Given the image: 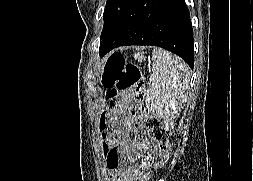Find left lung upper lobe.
Returning a JSON list of instances; mask_svg holds the SVG:
<instances>
[{"label":"left lung upper lobe","mask_w":253,"mask_h":181,"mask_svg":"<svg viewBox=\"0 0 253 181\" xmlns=\"http://www.w3.org/2000/svg\"><path fill=\"white\" fill-rule=\"evenodd\" d=\"M132 0H107L104 10V27L101 33V39L110 31L116 21L119 19L125 8Z\"/></svg>","instance_id":"1"}]
</instances>
